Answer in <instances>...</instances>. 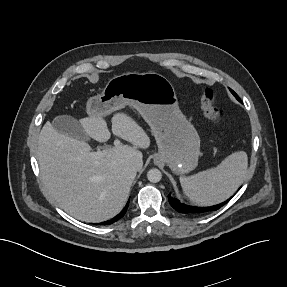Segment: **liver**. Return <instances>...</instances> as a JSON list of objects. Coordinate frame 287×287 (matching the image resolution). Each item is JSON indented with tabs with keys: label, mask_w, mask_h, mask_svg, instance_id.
<instances>
[{
	"label": "liver",
	"mask_w": 287,
	"mask_h": 287,
	"mask_svg": "<svg viewBox=\"0 0 287 287\" xmlns=\"http://www.w3.org/2000/svg\"><path fill=\"white\" fill-rule=\"evenodd\" d=\"M111 122L112 133L133 146L108 148L99 159L93 158L88 143L58 132L50 122L39 134L36 155L43 183L58 205L81 221L102 222L122 210L136 177L130 162L142 159L137 148L150 146L146 132L127 114H115ZM80 123L98 142L111 136L102 115L82 118Z\"/></svg>",
	"instance_id": "obj_1"
}]
</instances>
